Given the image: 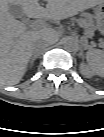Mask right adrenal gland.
Listing matches in <instances>:
<instances>
[{
  "instance_id": "right-adrenal-gland-1",
  "label": "right adrenal gland",
  "mask_w": 104,
  "mask_h": 137,
  "mask_svg": "<svg viewBox=\"0 0 104 137\" xmlns=\"http://www.w3.org/2000/svg\"><path fill=\"white\" fill-rule=\"evenodd\" d=\"M38 58V55H34L32 58H31V61L30 63L33 64V62Z\"/></svg>"
}]
</instances>
